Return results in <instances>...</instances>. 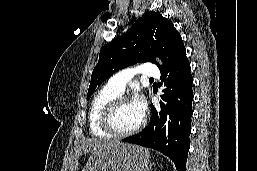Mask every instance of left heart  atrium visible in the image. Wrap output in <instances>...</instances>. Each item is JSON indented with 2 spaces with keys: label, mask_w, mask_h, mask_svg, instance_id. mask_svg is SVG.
Wrapping results in <instances>:
<instances>
[{
  "label": "left heart atrium",
  "mask_w": 257,
  "mask_h": 171,
  "mask_svg": "<svg viewBox=\"0 0 257 171\" xmlns=\"http://www.w3.org/2000/svg\"><path fill=\"white\" fill-rule=\"evenodd\" d=\"M132 104L137 112L143 117L147 109V104L144 96L141 94H136L132 100Z\"/></svg>",
  "instance_id": "left-heart-atrium-1"
}]
</instances>
